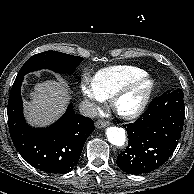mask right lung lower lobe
<instances>
[{"mask_svg":"<svg viewBox=\"0 0 194 194\" xmlns=\"http://www.w3.org/2000/svg\"><path fill=\"white\" fill-rule=\"evenodd\" d=\"M17 76L8 100V124L14 146L33 167L48 173L65 174L78 163L84 143L94 131L93 120L78 115L69 106L53 125L36 129L23 116L21 84Z\"/></svg>","mask_w":194,"mask_h":194,"instance_id":"right-lung-lower-lobe-1","label":"right lung lower lobe"}]
</instances>
